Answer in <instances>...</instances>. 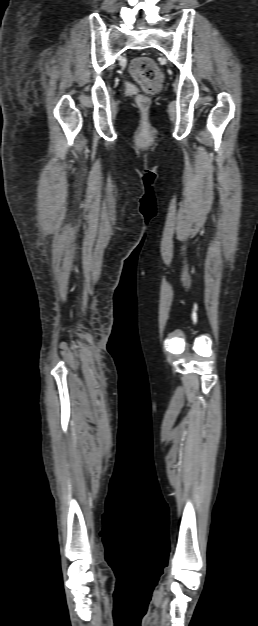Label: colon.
<instances>
[{
	"label": "colon",
	"mask_w": 258,
	"mask_h": 626,
	"mask_svg": "<svg viewBox=\"0 0 258 626\" xmlns=\"http://www.w3.org/2000/svg\"><path fill=\"white\" fill-rule=\"evenodd\" d=\"M130 73L143 89V93L136 98L137 106L146 112L151 106L150 95L156 93L162 85V72L151 58L143 56L132 61Z\"/></svg>",
	"instance_id": "colon-1"
}]
</instances>
